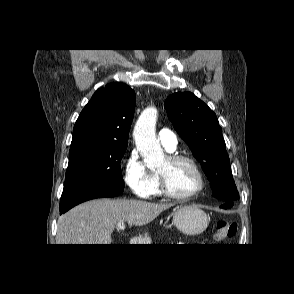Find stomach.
<instances>
[{
	"label": "stomach",
	"mask_w": 294,
	"mask_h": 294,
	"mask_svg": "<svg viewBox=\"0 0 294 294\" xmlns=\"http://www.w3.org/2000/svg\"><path fill=\"white\" fill-rule=\"evenodd\" d=\"M173 222L186 235H198L209 225L206 213L196 205L178 207L174 213Z\"/></svg>",
	"instance_id": "stomach-1"
}]
</instances>
